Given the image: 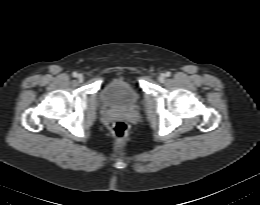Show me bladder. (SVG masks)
Wrapping results in <instances>:
<instances>
[{
	"instance_id": "bladder-1",
	"label": "bladder",
	"mask_w": 260,
	"mask_h": 205,
	"mask_svg": "<svg viewBox=\"0 0 260 205\" xmlns=\"http://www.w3.org/2000/svg\"><path fill=\"white\" fill-rule=\"evenodd\" d=\"M99 99L107 108H134L140 103L137 89L123 78L113 79L106 83L100 90Z\"/></svg>"
}]
</instances>
